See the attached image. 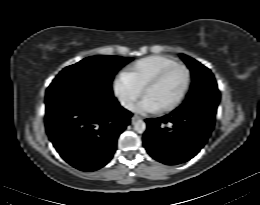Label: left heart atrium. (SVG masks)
<instances>
[{
  "label": "left heart atrium",
  "instance_id": "39dd6f15",
  "mask_svg": "<svg viewBox=\"0 0 260 205\" xmlns=\"http://www.w3.org/2000/svg\"><path fill=\"white\" fill-rule=\"evenodd\" d=\"M159 107L149 98L145 97L141 102H139L134 110L137 112H155Z\"/></svg>",
  "mask_w": 260,
  "mask_h": 205
}]
</instances>
